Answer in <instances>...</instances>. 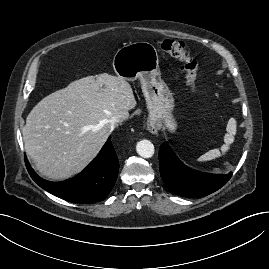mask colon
Returning a JSON list of instances; mask_svg holds the SVG:
<instances>
[{"label":"colon","instance_id":"1","mask_svg":"<svg viewBox=\"0 0 269 269\" xmlns=\"http://www.w3.org/2000/svg\"><path fill=\"white\" fill-rule=\"evenodd\" d=\"M154 43L162 51L180 61L181 72L186 79L187 86L192 93L199 94L200 88L197 80L199 62L190 48L183 42L174 39H156Z\"/></svg>","mask_w":269,"mask_h":269}]
</instances>
